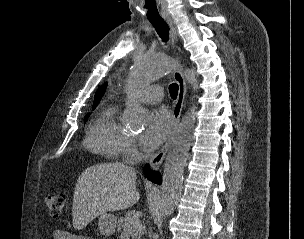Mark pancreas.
<instances>
[{"mask_svg":"<svg viewBox=\"0 0 304 239\" xmlns=\"http://www.w3.org/2000/svg\"><path fill=\"white\" fill-rule=\"evenodd\" d=\"M135 222H137V224L133 226ZM118 227L124 230H130L132 239H141L145 233V226L140 221L138 212L135 211H128L125 217L119 218Z\"/></svg>","mask_w":304,"mask_h":239,"instance_id":"1","label":"pancreas"}]
</instances>
